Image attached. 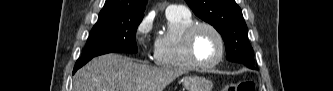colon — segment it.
<instances>
[{
  "label": "colon",
  "mask_w": 333,
  "mask_h": 91,
  "mask_svg": "<svg viewBox=\"0 0 333 91\" xmlns=\"http://www.w3.org/2000/svg\"><path fill=\"white\" fill-rule=\"evenodd\" d=\"M223 91H254V83L250 80L225 85Z\"/></svg>",
  "instance_id": "obj_1"
}]
</instances>
